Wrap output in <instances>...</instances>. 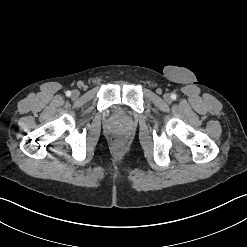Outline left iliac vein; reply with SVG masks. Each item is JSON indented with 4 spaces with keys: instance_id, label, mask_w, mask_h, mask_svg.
<instances>
[{
    "instance_id": "left-iliac-vein-1",
    "label": "left iliac vein",
    "mask_w": 247,
    "mask_h": 247,
    "mask_svg": "<svg viewBox=\"0 0 247 247\" xmlns=\"http://www.w3.org/2000/svg\"><path fill=\"white\" fill-rule=\"evenodd\" d=\"M164 100L166 102H170L171 101V96L168 93L164 94Z\"/></svg>"
}]
</instances>
